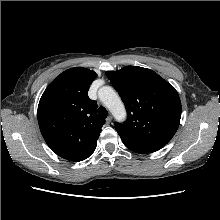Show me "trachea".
<instances>
[{
    "label": "trachea",
    "instance_id": "trachea-1",
    "mask_svg": "<svg viewBox=\"0 0 220 220\" xmlns=\"http://www.w3.org/2000/svg\"><path fill=\"white\" fill-rule=\"evenodd\" d=\"M98 114L102 118H107L108 116V111L104 107H99L98 108Z\"/></svg>",
    "mask_w": 220,
    "mask_h": 220
}]
</instances>
